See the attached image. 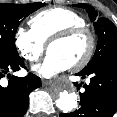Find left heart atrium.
I'll return each instance as SVG.
<instances>
[{
  "instance_id": "39dd6f15",
  "label": "left heart atrium",
  "mask_w": 117,
  "mask_h": 117,
  "mask_svg": "<svg viewBox=\"0 0 117 117\" xmlns=\"http://www.w3.org/2000/svg\"><path fill=\"white\" fill-rule=\"evenodd\" d=\"M69 68L70 65L64 59L54 54H48L41 64L34 67V70L45 78H52Z\"/></svg>"
}]
</instances>
